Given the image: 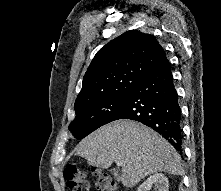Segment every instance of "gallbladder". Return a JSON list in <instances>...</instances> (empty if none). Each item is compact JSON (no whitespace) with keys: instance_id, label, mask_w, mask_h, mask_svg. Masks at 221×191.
I'll return each instance as SVG.
<instances>
[{"instance_id":"gallbladder-1","label":"gallbladder","mask_w":221,"mask_h":191,"mask_svg":"<svg viewBox=\"0 0 221 191\" xmlns=\"http://www.w3.org/2000/svg\"><path fill=\"white\" fill-rule=\"evenodd\" d=\"M113 173H114V174H117V172H116V171H113Z\"/></svg>"}]
</instances>
